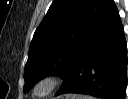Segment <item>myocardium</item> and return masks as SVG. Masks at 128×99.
I'll return each mask as SVG.
<instances>
[{"label": "myocardium", "instance_id": "myocardium-1", "mask_svg": "<svg viewBox=\"0 0 128 99\" xmlns=\"http://www.w3.org/2000/svg\"><path fill=\"white\" fill-rule=\"evenodd\" d=\"M63 83L64 77L61 74L53 73L45 75L35 83L32 94L37 97H46L52 94Z\"/></svg>", "mask_w": 128, "mask_h": 99}]
</instances>
